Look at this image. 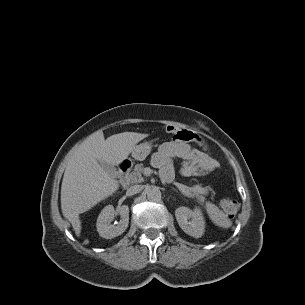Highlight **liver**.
<instances>
[{
  "label": "liver",
  "instance_id": "1",
  "mask_svg": "<svg viewBox=\"0 0 305 305\" xmlns=\"http://www.w3.org/2000/svg\"><path fill=\"white\" fill-rule=\"evenodd\" d=\"M147 136L143 133L123 132L105 140L103 132L96 131L75 150L63 176L61 209L77 236L81 233L79 214L119 189V182L98 161L113 166L120 164L127 159L136 144Z\"/></svg>",
  "mask_w": 305,
  "mask_h": 305
}]
</instances>
